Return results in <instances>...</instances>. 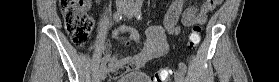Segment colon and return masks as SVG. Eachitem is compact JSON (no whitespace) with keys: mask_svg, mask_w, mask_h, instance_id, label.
I'll use <instances>...</instances> for the list:
<instances>
[{"mask_svg":"<svg viewBox=\"0 0 279 82\" xmlns=\"http://www.w3.org/2000/svg\"><path fill=\"white\" fill-rule=\"evenodd\" d=\"M59 6L63 17L64 27L69 34L72 42L78 46H84L88 43L91 30L93 28V19L87 13V7L90 4L88 0H59ZM209 6H217L222 0H207ZM201 40V26L194 25L189 34L188 47L196 48ZM170 70L162 68L154 75V82H169Z\"/></svg>","mask_w":279,"mask_h":82,"instance_id":"obj_1","label":"colon"}]
</instances>
